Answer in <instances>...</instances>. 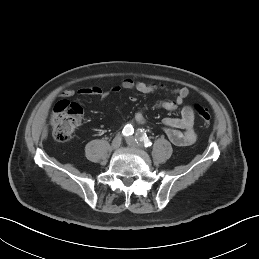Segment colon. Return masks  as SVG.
<instances>
[{"mask_svg":"<svg viewBox=\"0 0 259 259\" xmlns=\"http://www.w3.org/2000/svg\"><path fill=\"white\" fill-rule=\"evenodd\" d=\"M194 110L199 115L203 125L209 127L212 124L210 113L200 105H195ZM83 109L80 105L71 101L58 103L51 116L53 136L60 142L68 141L74 129L78 126Z\"/></svg>","mask_w":259,"mask_h":259,"instance_id":"1","label":"colon"}]
</instances>
